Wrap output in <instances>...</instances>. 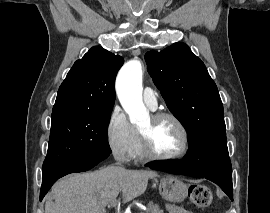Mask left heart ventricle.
<instances>
[{
	"label": "left heart ventricle",
	"mask_w": 270,
	"mask_h": 213,
	"mask_svg": "<svg viewBox=\"0 0 270 213\" xmlns=\"http://www.w3.org/2000/svg\"><path fill=\"white\" fill-rule=\"evenodd\" d=\"M140 129L148 132L152 149L160 155L174 154L183 145L182 133L171 119L153 122L149 117Z\"/></svg>",
	"instance_id": "b2bd125f"
}]
</instances>
